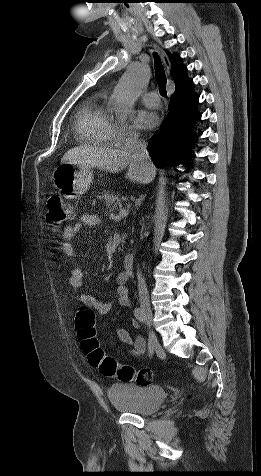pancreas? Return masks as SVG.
I'll return each mask as SVG.
<instances>
[{
  "mask_svg": "<svg viewBox=\"0 0 261 476\" xmlns=\"http://www.w3.org/2000/svg\"><path fill=\"white\" fill-rule=\"evenodd\" d=\"M99 199L103 200L106 210L109 212H114L122 208V202L117 195L104 193L102 196H99Z\"/></svg>",
  "mask_w": 261,
  "mask_h": 476,
  "instance_id": "cf45deb5",
  "label": "pancreas"
}]
</instances>
